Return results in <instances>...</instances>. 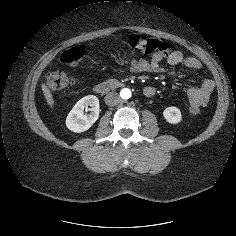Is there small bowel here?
Instances as JSON below:
<instances>
[{"label":"small bowel","instance_id":"1","mask_svg":"<svg viewBox=\"0 0 236 236\" xmlns=\"http://www.w3.org/2000/svg\"><path fill=\"white\" fill-rule=\"evenodd\" d=\"M165 59L171 66L179 64L184 65L186 68L194 71L201 69V63L194 57H186L182 52L174 50L165 53L161 56H153L150 60L144 58L133 59L129 65L128 70L133 73H163L165 69L161 65V61ZM119 68H114L113 71H120ZM214 90V82L211 79H204L198 86H193L188 89L187 97L190 106H196L198 108L204 107L208 104L210 96ZM156 93V89L153 86H147L144 89V94L147 97H153Z\"/></svg>","mask_w":236,"mask_h":236}]
</instances>
